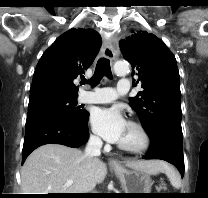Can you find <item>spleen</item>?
Segmentation results:
<instances>
[{
	"mask_svg": "<svg viewBox=\"0 0 208 198\" xmlns=\"http://www.w3.org/2000/svg\"><path fill=\"white\" fill-rule=\"evenodd\" d=\"M163 171H165V174L168 177L171 185L174 188L179 189L181 187V179L179 177L178 172L174 168H172L171 166L165 163L163 165Z\"/></svg>",
	"mask_w": 208,
	"mask_h": 198,
	"instance_id": "spleen-1",
	"label": "spleen"
}]
</instances>
